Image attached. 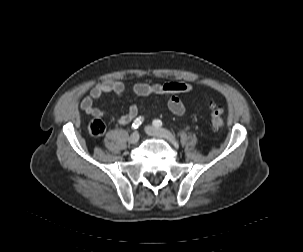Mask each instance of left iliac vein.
Returning a JSON list of instances; mask_svg holds the SVG:
<instances>
[{
    "mask_svg": "<svg viewBox=\"0 0 303 252\" xmlns=\"http://www.w3.org/2000/svg\"><path fill=\"white\" fill-rule=\"evenodd\" d=\"M146 132L150 136L160 137V138L166 139L173 145H177V141H176L175 137L166 129L156 128L154 126L149 125V126H146Z\"/></svg>",
    "mask_w": 303,
    "mask_h": 252,
    "instance_id": "obj_1",
    "label": "left iliac vein"
}]
</instances>
